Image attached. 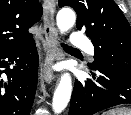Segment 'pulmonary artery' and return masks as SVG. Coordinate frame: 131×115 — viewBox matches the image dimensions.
I'll use <instances>...</instances> for the list:
<instances>
[{
	"instance_id": "1",
	"label": "pulmonary artery",
	"mask_w": 131,
	"mask_h": 115,
	"mask_svg": "<svg viewBox=\"0 0 131 115\" xmlns=\"http://www.w3.org/2000/svg\"><path fill=\"white\" fill-rule=\"evenodd\" d=\"M70 44L74 47L84 48L90 54H93L94 48L88 37L78 31H74L70 39Z\"/></svg>"
}]
</instances>
